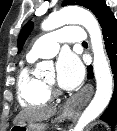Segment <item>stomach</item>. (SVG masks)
<instances>
[{"label":"stomach","mask_w":117,"mask_h":131,"mask_svg":"<svg viewBox=\"0 0 117 131\" xmlns=\"http://www.w3.org/2000/svg\"><path fill=\"white\" fill-rule=\"evenodd\" d=\"M74 111L68 108H64L60 115L55 119V121L66 119L72 117ZM47 128L46 123L42 122H24L21 124H16L12 127L14 131H45Z\"/></svg>","instance_id":"1"}]
</instances>
